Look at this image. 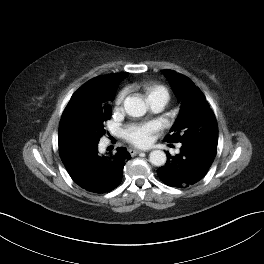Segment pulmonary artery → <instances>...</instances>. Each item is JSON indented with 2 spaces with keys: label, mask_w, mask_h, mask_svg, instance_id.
Returning a JSON list of instances; mask_svg holds the SVG:
<instances>
[{
  "label": "pulmonary artery",
  "mask_w": 264,
  "mask_h": 264,
  "mask_svg": "<svg viewBox=\"0 0 264 264\" xmlns=\"http://www.w3.org/2000/svg\"><path fill=\"white\" fill-rule=\"evenodd\" d=\"M166 103L167 100L161 96L154 97L149 100L150 107L155 113L161 112L164 109Z\"/></svg>",
  "instance_id": "pulmonary-artery-1"
}]
</instances>
